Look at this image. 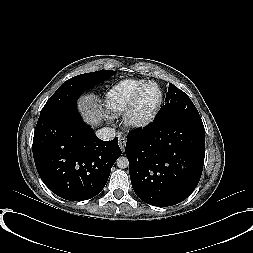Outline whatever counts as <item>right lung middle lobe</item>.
<instances>
[{"instance_id": "dd1d6c3e", "label": "right lung middle lobe", "mask_w": 253, "mask_h": 253, "mask_svg": "<svg viewBox=\"0 0 253 253\" xmlns=\"http://www.w3.org/2000/svg\"><path fill=\"white\" fill-rule=\"evenodd\" d=\"M115 71L102 70L75 76L64 82L46 102L40 116L47 115L75 103L77 98L87 89L110 78Z\"/></svg>"}]
</instances>
